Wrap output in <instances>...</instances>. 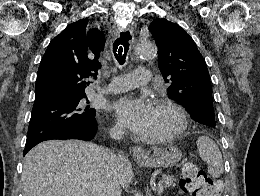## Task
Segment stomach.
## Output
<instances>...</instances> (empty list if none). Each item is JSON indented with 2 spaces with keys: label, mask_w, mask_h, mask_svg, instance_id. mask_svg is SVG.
Segmentation results:
<instances>
[{
  "label": "stomach",
  "mask_w": 260,
  "mask_h": 196,
  "mask_svg": "<svg viewBox=\"0 0 260 196\" xmlns=\"http://www.w3.org/2000/svg\"><path fill=\"white\" fill-rule=\"evenodd\" d=\"M181 156L182 152L177 146H166L162 150L156 148L148 160H136V162L145 168H171L180 162Z\"/></svg>",
  "instance_id": "1"
}]
</instances>
